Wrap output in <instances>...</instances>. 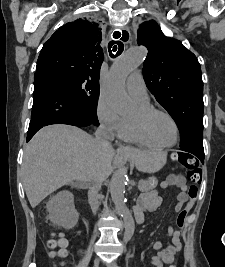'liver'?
I'll list each match as a JSON object with an SVG mask.
<instances>
[{
    "label": "liver",
    "mask_w": 225,
    "mask_h": 267,
    "mask_svg": "<svg viewBox=\"0 0 225 267\" xmlns=\"http://www.w3.org/2000/svg\"><path fill=\"white\" fill-rule=\"evenodd\" d=\"M115 151H101L94 138L85 131L64 124L42 128L26 145L23 159V184L32 208L48 195L73 181H89L99 167L111 173ZM147 154L130 150L124 161L146 171ZM117 163L118 159L115 158Z\"/></svg>",
    "instance_id": "6515ba94"
}]
</instances>
